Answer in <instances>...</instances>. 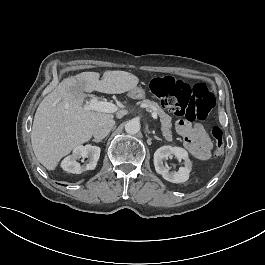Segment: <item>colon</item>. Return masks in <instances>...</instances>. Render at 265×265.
I'll list each match as a JSON object with an SVG mask.
<instances>
[{
  "label": "colon",
  "instance_id": "obj_1",
  "mask_svg": "<svg viewBox=\"0 0 265 265\" xmlns=\"http://www.w3.org/2000/svg\"><path fill=\"white\" fill-rule=\"evenodd\" d=\"M151 93L170 111L189 120L201 121L208 117L215 101V92L206 84L190 85L172 75L153 77ZM210 134L215 142L214 154L219 157L225 150L223 131L213 126Z\"/></svg>",
  "mask_w": 265,
  "mask_h": 265
}]
</instances>
